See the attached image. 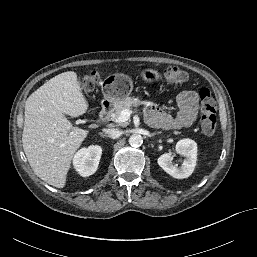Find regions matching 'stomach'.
Wrapping results in <instances>:
<instances>
[{
	"label": "stomach",
	"mask_w": 257,
	"mask_h": 257,
	"mask_svg": "<svg viewBox=\"0 0 257 257\" xmlns=\"http://www.w3.org/2000/svg\"><path fill=\"white\" fill-rule=\"evenodd\" d=\"M142 77L144 80L150 82L158 74L155 69L147 68L143 70ZM132 91V82L130 79L122 77L120 81L111 77L102 84V93L104 99L102 105L116 106L120 101L130 95Z\"/></svg>",
	"instance_id": "stomach-1"
}]
</instances>
